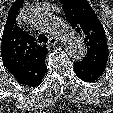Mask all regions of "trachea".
Wrapping results in <instances>:
<instances>
[{
    "instance_id": "3493384b",
    "label": "trachea",
    "mask_w": 113,
    "mask_h": 113,
    "mask_svg": "<svg viewBox=\"0 0 113 113\" xmlns=\"http://www.w3.org/2000/svg\"><path fill=\"white\" fill-rule=\"evenodd\" d=\"M38 40H39L40 43H47V42H48V38H47V36L44 35V34H40V35L38 36Z\"/></svg>"
}]
</instances>
